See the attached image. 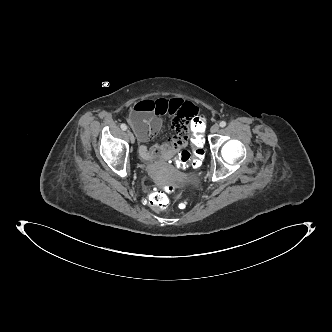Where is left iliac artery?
Segmentation results:
<instances>
[{"label":"left iliac artery","instance_id":"left-iliac-artery-1","mask_svg":"<svg viewBox=\"0 0 332 332\" xmlns=\"http://www.w3.org/2000/svg\"><path fill=\"white\" fill-rule=\"evenodd\" d=\"M219 125H220V127H225L226 126V122L225 121H221Z\"/></svg>","mask_w":332,"mask_h":332}]
</instances>
